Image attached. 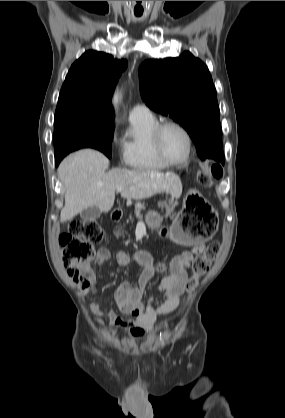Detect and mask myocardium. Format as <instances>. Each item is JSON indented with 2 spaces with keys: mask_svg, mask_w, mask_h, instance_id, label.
Returning <instances> with one entry per match:
<instances>
[{
  "mask_svg": "<svg viewBox=\"0 0 285 418\" xmlns=\"http://www.w3.org/2000/svg\"><path fill=\"white\" fill-rule=\"evenodd\" d=\"M167 127H176L185 135V138L187 140V152H186L185 157L181 161H177V162L171 161L166 156L162 148L161 135H162V132ZM150 141L158 158L161 161H163L165 164H167L168 166H180V165L187 163L193 151V140H192V136L190 132L185 126H183L181 123L174 121V120H165V121L158 123L151 134Z\"/></svg>",
  "mask_w": 285,
  "mask_h": 418,
  "instance_id": "f54148a6",
  "label": "myocardium"
}]
</instances>
